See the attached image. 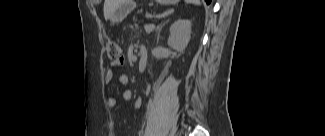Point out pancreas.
Wrapping results in <instances>:
<instances>
[{"label": "pancreas", "mask_w": 325, "mask_h": 136, "mask_svg": "<svg viewBox=\"0 0 325 136\" xmlns=\"http://www.w3.org/2000/svg\"><path fill=\"white\" fill-rule=\"evenodd\" d=\"M150 11L149 9H147V7L145 5H140L138 7V12H132L131 17L133 19V22L136 23H141V18L142 16H149Z\"/></svg>", "instance_id": "cf45deb5"}]
</instances>
